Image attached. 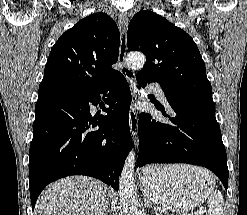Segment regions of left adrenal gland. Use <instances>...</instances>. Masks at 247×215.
<instances>
[{
	"label": "left adrenal gland",
	"instance_id": "a2214340",
	"mask_svg": "<svg viewBox=\"0 0 247 215\" xmlns=\"http://www.w3.org/2000/svg\"><path fill=\"white\" fill-rule=\"evenodd\" d=\"M144 206L147 207V208H152V206L150 205L149 201L145 197H144Z\"/></svg>",
	"mask_w": 247,
	"mask_h": 215
}]
</instances>
